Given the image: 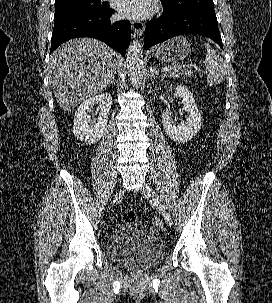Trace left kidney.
Wrapping results in <instances>:
<instances>
[{
	"mask_svg": "<svg viewBox=\"0 0 272 303\" xmlns=\"http://www.w3.org/2000/svg\"><path fill=\"white\" fill-rule=\"evenodd\" d=\"M176 93L182 99L183 110L188 112L186 122L180 124L172 119L170 113L166 110L162 114V123L166 134L176 142L184 143L195 137L201 128V114L197 108L192 93L186 86L178 85Z\"/></svg>",
	"mask_w": 272,
	"mask_h": 303,
	"instance_id": "left-kidney-1",
	"label": "left kidney"
}]
</instances>
